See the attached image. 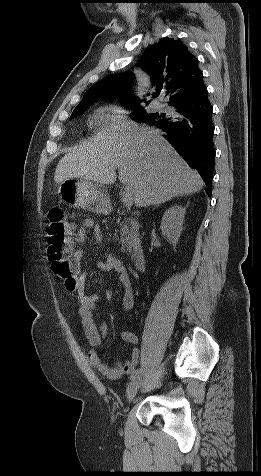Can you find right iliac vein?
Listing matches in <instances>:
<instances>
[{"label": "right iliac vein", "instance_id": "right-iliac-vein-1", "mask_svg": "<svg viewBox=\"0 0 261 476\" xmlns=\"http://www.w3.org/2000/svg\"><path fill=\"white\" fill-rule=\"evenodd\" d=\"M141 381H142L141 377L138 376L129 383L126 390V396H127L128 402H131L133 398L136 396L137 391L140 387Z\"/></svg>", "mask_w": 261, "mask_h": 476}]
</instances>
